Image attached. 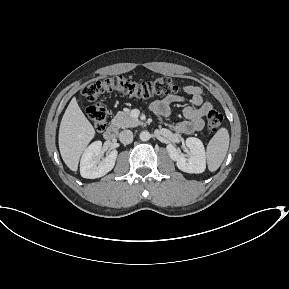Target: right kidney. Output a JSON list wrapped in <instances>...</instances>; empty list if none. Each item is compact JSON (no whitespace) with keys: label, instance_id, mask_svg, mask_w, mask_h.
Segmentation results:
<instances>
[{"label":"right kidney","instance_id":"right-kidney-1","mask_svg":"<svg viewBox=\"0 0 289 289\" xmlns=\"http://www.w3.org/2000/svg\"><path fill=\"white\" fill-rule=\"evenodd\" d=\"M101 148L102 142L95 141L85 149L80 162V174L83 178H99L113 169L118 152L110 151L106 158L100 161Z\"/></svg>","mask_w":289,"mask_h":289}]
</instances>
